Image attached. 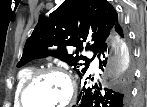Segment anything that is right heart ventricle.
Returning a JSON list of instances; mask_svg holds the SVG:
<instances>
[{
    "label": "right heart ventricle",
    "mask_w": 147,
    "mask_h": 107,
    "mask_svg": "<svg viewBox=\"0 0 147 107\" xmlns=\"http://www.w3.org/2000/svg\"><path fill=\"white\" fill-rule=\"evenodd\" d=\"M34 72L33 68H25L19 71L16 78V86H15V92H14V103L16 107H21L19 103V96L20 92L26 83V81L29 79V77Z\"/></svg>",
    "instance_id": "right-heart-ventricle-1"
}]
</instances>
